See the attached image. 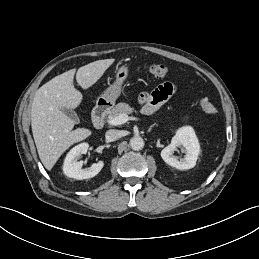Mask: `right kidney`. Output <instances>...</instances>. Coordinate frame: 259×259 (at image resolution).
Returning <instances> with one entry per match:
<instances>
[{
    "label": "right kidney",
    "mask_w": 259,
    "mask_h": 259,
    "mask_svg": "<svg viewBox=\"0 0 259 259\" xmlns=\"http://www.w3.org/2000/svg\"><path fill=\"white\" fill-rule=\"evenodd\" d=\"M89 148L88 143H81L73 147L67 154L64 164L63 172L66 176L77 180L89 179L96 176L104 166L103 161L94 163L90 168L83 169L82 161H77L81 154H85Z\"/></svg>",
    "instance_id": "right-kidney-1"
}]
</instances>
